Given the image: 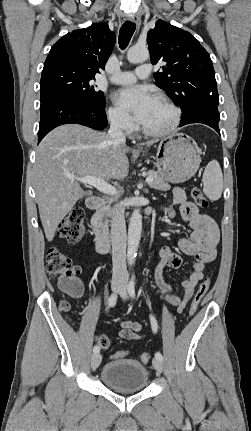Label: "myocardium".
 <instances>
[{
    "instance_id": "f54148a6",
    "label": "myocardium",
    "mask_w": 251,
    "mask_h": 431,
    "mask_svg": "<svg viewBox=\"0 0 251 431\" xmlns=\"http://www.w3.org/2000/svg\"><path fill=\"white\" fill-rule=\"evenodd\" d=\"M158 100L163 104H165L172 111V119L165 128L160 130H149L142 125L140 127V130L144 135L148 137L159 138V137L167 136L172 132H174L178 128L181 122V117H182L181 109L172 100H170L165 96L158 97Z\"/></svg>"
}]
</instances>
